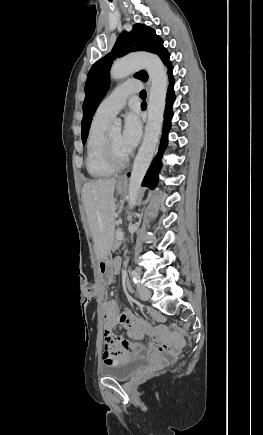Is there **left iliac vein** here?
I'll list each match as a JSON object with an SVG mask.
<instances>
[{"label": "left iliac vein", "instance_id": "left-iliac-vein-1", "mask_svg": "<svg viewBox=\"0 0 263 435\" xmlns=\"http://www.w3.org/2000/svg\"><path fill=\"white\" fill-rule=\"evenodd\" d=\"M138 294L143 301H147L151 297V291L143 286H138Z\"/></svg>", "mask_w": 263, "mask_h": 435}]
</instances>
